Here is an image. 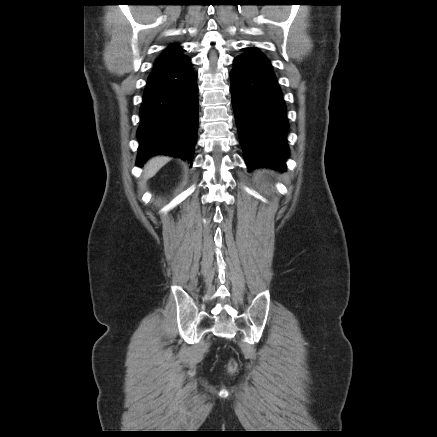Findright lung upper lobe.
<instances>
[{
	"instance_id": "obj_1",
	"label": "right lung upper lobe",
	"mask_w": 437,
	"mask_h": 437,
	"mask_svg": "<svg viewBox=\"0 0 437 437\" xmlns=\"http://www.w3.org/2000/svg\"><path fill=\"white\" fill-rule=\"evenodd\" d=\"M182 56L184 55L182 54V48L179 45L177 44L170 45L168 48L164 50L161 56L157 58L154 67L156 68L166 65L168 63H171L181 58Z\"/></svg>"
}]
</instances>
